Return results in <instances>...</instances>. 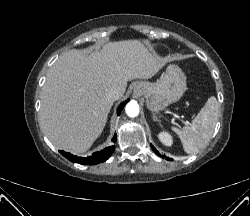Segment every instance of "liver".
Masks as SVG:
<instances>
[{
    "label": "liver",
    "mask_w": 250,
    "mask_h": 216,
    "mask_svg": "<svg viewBox=\"0 0 250 216\" xmlns=\"http://www.w3.org/2000/svg\"><path fill=\"white\" fill-rule=\"evenodd\" d=\"M165 63L139 40L63 53L49 69L42 89L44 133L59 149L86 152L102 133L113 105L106 92L116 88L123 97L127 81L152 78Z\"/></svg>",
    "instance_id": "liver-1"
}]
</instances>
